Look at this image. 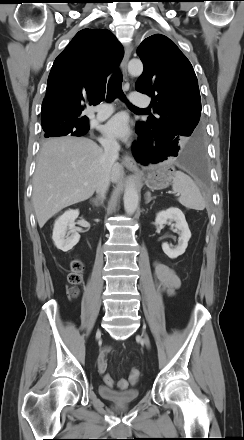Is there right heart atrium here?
I'll return each mask as SVG.
<instances>
[{"mask_svg":"<svg viewBox=\"0 0 244 440\" xmlns=\"http://www.w3.org/2000/svg\"><path fill=\"white\" fill-rule=\"evenodd\" d=\"M101 142H102L104 145H109V146L113 144L112 140H110L109 138H106V137H102V138H101Z\"/></svg>","mask_w":244,"mask_h":440,"instance_id":"obj_1","label":"right heart atrium"}]
</instances>
